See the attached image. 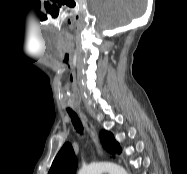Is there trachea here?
I'll list each match as a JSON object with an SVG mask.
<instances>
[{
	"label": "trachea",
	"instance_id": "obj_1",
	"mask_svg": "<svg viewBox=\"0 0 187 174\" xmlns=\"http://www.w3.org/2000/svg\"><path fill=\"white\" fill-rule=\"evenodd\" d=\"M67 111H68V113H69V115H70V117H71V120H72L73 125H74L75 129L77 130V132H78V133H82L83 127H82V124H81V122H80L78 116L76 115V113L73 112V111L70 110V109H68Z\"/></svg>",
	"mask_w": 187,
	"mask_h": 174
}]
</instances>
